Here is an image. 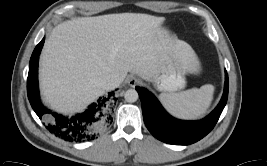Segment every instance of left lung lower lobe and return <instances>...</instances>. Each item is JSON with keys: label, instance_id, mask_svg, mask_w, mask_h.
<instances>
[{"label": "left lung lower lobe", "instance_id": "0a47b994", "mask_svg": "<svg viewBox=\"0 0 267 166\" xmlns=\"http://www.w3.org/2000/svg\"><path fill=\"white\" fill-rule=\"evenodd\" d=\"M142 103L143 119L151 134L173 145H189L206 136L217 123L228 98V75L225 74L224 93L215 110L199 121H183L169 115L148 90L136 87Z\"/></svg>", "mask_w": 267, "mask_h": 166}]
</instances>
